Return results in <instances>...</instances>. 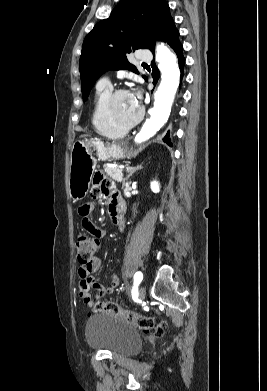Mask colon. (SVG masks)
<instances>
[{"label": "colon", "mask_w": 267, "mask_h": 391, "mask_svg": "<svg viewBox=\"0 0 267 391\" xmlns=\"http://www.w3.org/2000/svg\"><path fill=\"white\" fill-rule=\"evenodd\" d=\"M99 239L88 234H81L75 240L77 259L81 266H87L98 253ZM95 312L104 311L111 313L122 321L131 324L143 332L162 336L166 327L165 322H157L154 318L123 309L118 304L108 301H98L93 305Z\"/></svg>", "instance_id": "colon-1"}]
</instances>
